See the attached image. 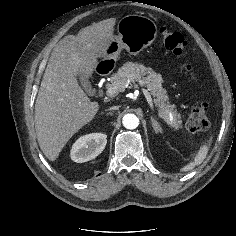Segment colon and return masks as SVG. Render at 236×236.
<instances>
[{
  "label": "colon",
  "instance_id": "obj_1",
  "mask_svg": "<svg viewBox=\"0 0 236 236\" xmlns=\"http://www.w3.org/2000/svg\"><path fill=\"white\" fill-rule=\"evenodd\" d=\"M162 39L166 49L175 55H181L187 46L185 38L180 33L171 31L167 28L162 29ZM182 68L186 74L191 75L192 69L190 64L184 63ZM186 126L191 132H201L209 127L207 107L205 104H201L192 110Z\"/></svg>",
  "mask_w": 236,
  "mask_h": 236
}]
</instances>
